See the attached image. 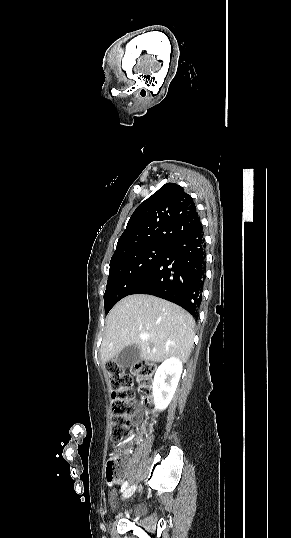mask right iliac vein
Wrapping results in <instances>:
<instances>
[{"mask_svg":"<svg viewBox=\"0 0 291 538\" xmlns=\"http://www.w3.org/2000/svg\"><path fill=\"white\" fill-rule=\"evenodd\" d=\"M135 489H136V485L132 484L131 486H129L127 488V490L124 492L123 496L124 497L131 496L134 493Z\"/></svg>","mask_w":291,"mask_h":538,"instance_id":"right-iliac-vein-1","label":"right iliac vein"}]
</instances>
